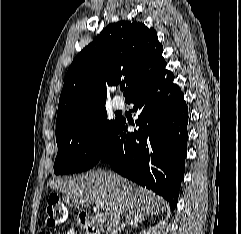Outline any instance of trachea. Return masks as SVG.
<instances>
[{
  "label": "trachea",
  "mask_w": 241,
  "mask_h": 234,
  "mask_svg": "<svg viewBox=\"0 0 241 234\" xmlns=\"http://www.w3.org/2000/svg\"><path fill=\"white\" fill-rule=\"evenodd\" d=\"M125 88V84L120 85V89L123 90Z\"/></svg>",
  "instance_id": "obj_1"
}]
</instances>
